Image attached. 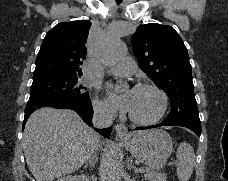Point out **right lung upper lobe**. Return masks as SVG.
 Masks as SVG:
<instances>
[{"instance_id":"cb5924a9","label":"right lung upper lobe","mask_w":228,"mask_h":181,"mask_svg":"<svg viewBox=\"0 0 228 181\" xmlns=\"http://www.w3.org/2000/svg\"><path fill=\"white\" fill-rule=\"evenodd\" d=\"M90 26L91 22L87 20H77L61 22L51 29L37 55L33 78L58 74L82 75Z\"/></svg>"}]
</instances>
